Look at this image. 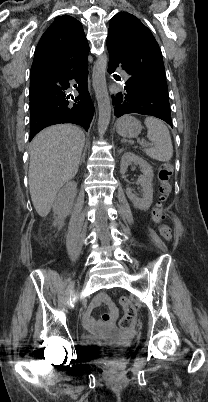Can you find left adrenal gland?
<instances>
[{"label": "left adrenal gland", "instance_id": "left-adrenal-gland-1", "mask_svg": "<svg viewBox=\"0 0 208 402\" xmlns=\"http://www.w3.org/2000/svg\"><path fill=\"white\" fill-rule=\"evenodd\" d=\"M118 152H123V150H118Z\"/></svg>", "mask_w": 208, "mask_h": 402}]
</instances>
